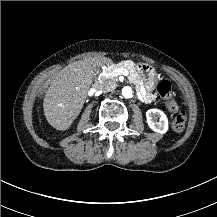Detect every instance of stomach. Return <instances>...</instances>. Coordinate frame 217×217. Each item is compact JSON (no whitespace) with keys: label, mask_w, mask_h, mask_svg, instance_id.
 Segmentation results:
<instances>
[{"label":"stomach","mask_w":217,"mask_h":217,"mask_svg":"<svg viewBox=\"0 0 217 217\" xmlns=\"http://www.w3.org/2000/svg\"><path fill=\"white\" fill-rule=\"evenodd\" d=\"M135 69L140 75L141 80L143 81V86L148 92H152L157 83V73L155 68L147 63H137L135 64Z\"/></svg>","instance_id":"0dacf381"}]
</instances>
